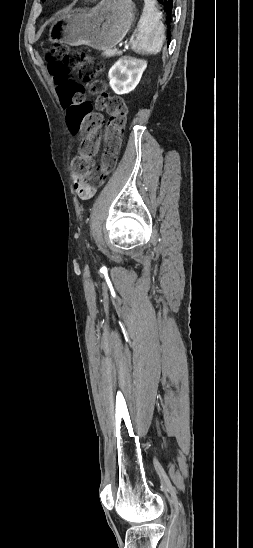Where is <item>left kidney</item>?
<instances>
[{
  "label": "left kidney",
  "mask_w": 253,
  "mask_h": 548,
  "mask_svg": "<svg viewBox=\"0 0 253 548\" xmlns=\"http://www.w3.org/2000/svg\"><path fill=\"white\" fill-rule=\"evenodd\" d=\"M147 63L131 57L120 58L109 70L110 87L116 94H126L138 85Z\"/></svg>",
  "instance_id": "left-kidney-1"
}]
</instances>
